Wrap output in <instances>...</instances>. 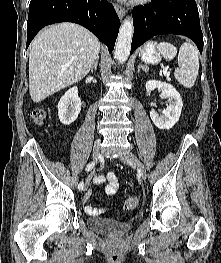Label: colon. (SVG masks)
I'll return each instance as SVG.
<instances>
[{"label":"colon","instance_id":"5ec220e1","mask_svg":"<svg viewBox=\"0 0 221 263\" xmlns=\"http://www.w3.org/2000/svg\"><path fill=\"white\" fill-rule=\"evenodd\" d=\"M34 122L40 124L45 118V112L43 109H36L32 113ZM139 206V199L137 196H129L124 199L122 207L125 211L135 210Z\"/></svg>","mask_w":221,"mask_h":263}]
</instances>
